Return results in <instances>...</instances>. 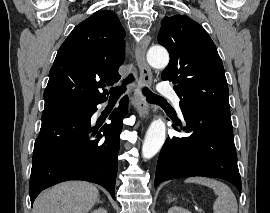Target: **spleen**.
<instances>
[{
  "label": "spleen",
  "mask_w": 270,
  "mask_h": 213,
  "mask_svg": "<svg viewBox=\"0 0 270 213\" xmlns=\"http://www.w3.org/2000/svg\"><path fill=\"white\" fill-rule=\"evenodd\" d=\"M185 183H197L209 186L217 195L213 204L214 213H237V200L231 189L224 183L205 177H190Z\"/></svg>",
  "instance_id": "1"
}]
</instances>
